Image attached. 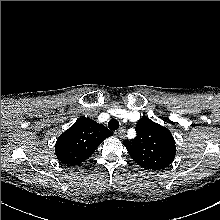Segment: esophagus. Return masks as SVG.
<instances>
[{"label":"esophagus","mask_w":220,"mask_h":220,"mask_svg":"<svg viewBox=\"0 0 220 220\" xmlns=\"http://www.w3.org/2000/svg\"><path fill=\"white\" fill-rule=\"evenodd\" d=\"M114 135L118 138H124L125 137V130L124 129H119L114 132Z\"/></svg>","instance_id":"34e87169"}]
</instances>
